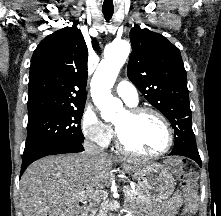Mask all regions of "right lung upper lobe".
I'll use <instances>...</instances> for the list:
<instances>
[{"label":"right lung upper lobe","mask_w":221,"mask_h":216,"mask_svg":"<svg viewBox=\"0 0 221 216\" xmlns=\"http://www.w3.org/2000/svg\"><path fill=\"white\" fill-rule=\"evenodd\" d=\"M76 25L48 35L34 51L29 74L28 118L85 104L88 49ZM92 44L98 48L97 42Z\"/></svg>","instance_id":"cb5924a9"}]
</instances>
